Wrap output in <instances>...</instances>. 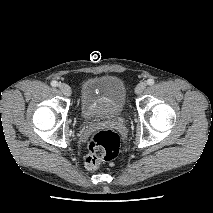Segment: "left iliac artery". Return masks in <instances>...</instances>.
Here are the masks:
<instances>
[{
  "instance_id": "obj_1",
  "label": "left iliac artery",
  "mask_w": 213,
  "mask_h": 213,
  "mask_svg": "<svg viewBox=\"0 0 213 213\" xmlns=\"http://www.w3.org/2000/svg\"><path fill=\"white\" fill-rule=\"evenodd\" d=\"M154 83H155L154 79L150 78V79L147 80L148 85H153Z\"/></svg>"
}]
</instances>
